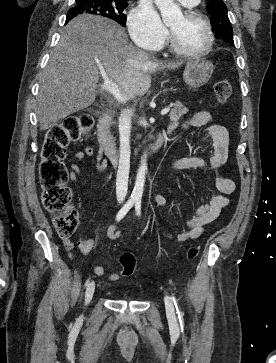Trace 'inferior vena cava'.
Segmentation results:
<instances>
[{
    "instance_id": "602c4592",
    "label": "inferior vena cava",
    "mask_w": 276,
    "mask_h": 363,
    "mask_svg": "<svg viewBox=\"0 0 276 363\" xmlns=\"http://www.w3.org/2000/svg\"><path fill=\"white\" fill-rule=\"evenodd\" d=\"M131 115L132 113L129 109H124L119 117L120 158L116 178V196L119 203L125 200L128 189Z\"/></svg>"
}]
</instances>
